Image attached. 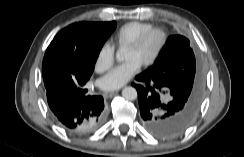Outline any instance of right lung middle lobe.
<instances>
[{"mask_svg": "<svg viewBox=\"0 0 244 157\" xmlns=\"http://www.w3.org/2000/svg\"><path fill=\"white\" fill-rule=\"evenodd\" d=\"M116 22H79L61 30L45 53L42 75L46 92L90 78L99 52Z\"/></svg>", "mask_w": 244, "mask_h": 157, "instance_id": "right-lung-middle-lobe-1", "label": "right lung middle lobe"}]
</instances>
